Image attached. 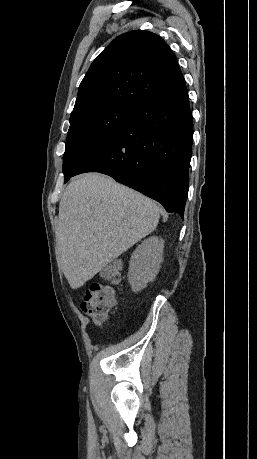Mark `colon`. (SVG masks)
I'll return each instance as SVG.
<instances>
[{
    "instance_id": "1",
    "label": "colon",
    "mask_w": 257,
    "mask_h": 459,
    "mask_svg": "<svg viewBox=\"0 0 257 459\" xmlns=\"http://www.w3.org/2000/svg\"><path fill=\"white\" fill-rule=\"evenodd\" d=\"M121 269L119 263L113 262L103 269L102 275L105 279L116 283L119 281ZM115 302V293L111 287L94 283L87 289L81 304V309L84 313L93 316L96 320H102L109 315Z\"/></svg>"
}]
</instances>
